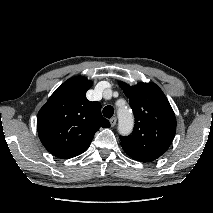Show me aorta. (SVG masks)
Returning <instances> with one entry per match:
<instances>
[{
  "instance_id": "aorta-1",
  "label": "aorta",
  "mask_w": 213,
  "mask_h": 213,
  "mask_svg": "<svg viewBox=\"0 0 213 213\" xmlns=\"http://www.w3.org/2000/svg\"><path fill=\"white\" fill-rule=\"evenodd\" d=\"M118 131L121 135H128L134 125V118L132 112L128 108H119L118 109Z\"/></svg>"
}]
</instances>
